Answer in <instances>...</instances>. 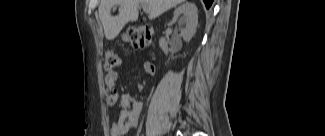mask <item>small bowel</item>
<instances>
[{"label": "small bowel", "mask_w": 325, "mask_h": 136, "mask_svg": "<svg viewBox=\"0 0 325 136\" xmlns=\"http://www.w3.org/2000/svg\"><path fill=\"white\" fill-rule=\"evenodd\" d=\"M144 70L149 75H155L156 66L151 62L144 63ZM118 82V73L112 72L105 76V84L107 86L106 103L113 106L118 102V119L113 122L110 127L111 136H124L130 130L137 127L139 118L143 109V103L129 93H122L119 97L116 91Z\"/></svg>", "instance_id": "small-bowel-1"}]
</instances>
